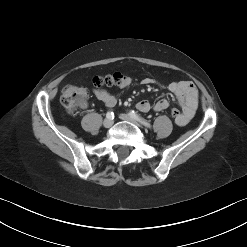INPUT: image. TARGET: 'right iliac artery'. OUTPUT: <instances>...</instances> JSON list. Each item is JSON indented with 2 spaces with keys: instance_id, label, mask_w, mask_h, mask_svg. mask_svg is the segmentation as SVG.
<instances>
[{
  "instance_id": "obj_1",
  "label": "right iliac artery",
  "mask_w": 247,
  "mask_h": 247,
  "mask_svg": "<svg viewBox=\"0 0 247 247\" xmlns=\"http://www.w3.org/2000/svg\"><path fill=\"white\" fill-rule=\"evenodd\" d=\"M106 117H107L108 119H114V113H113V112H108V113L106 114Z\"/></svg>"
}]
</instances>
